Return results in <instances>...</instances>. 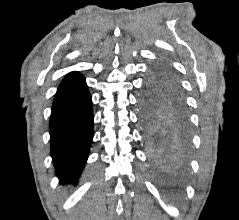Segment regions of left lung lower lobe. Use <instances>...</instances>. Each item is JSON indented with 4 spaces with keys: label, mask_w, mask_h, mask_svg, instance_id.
Here are the masks:
<instances>
[{
    "label": "left lung lower lobe",
    "mask_w": 239,
    "mask_h": 220,
    "mask_svg": "<svg viewBox=\"0 0 239 220\" xmlns=\"http://www.w3.org/2000/svg\"><path fill=\"white\" fill-rule=\"evenodd\" d=\"M188 138L186 112L175 111L161 126L149 131L148 143L156 161L175 164L184 160Z\"/></svg>",
    "instance_id": "obj_1"
}]
</instances>
